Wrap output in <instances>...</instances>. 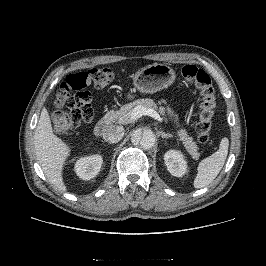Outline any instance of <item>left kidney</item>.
I'll return each mask as SVG.
<instances>
[{
    "mask_svg": "<svg viewBox=\"0 0 266 266\" xmlns=\"http://www.w3.org/2000/svg\"><path fill=\"white\" fill-rule=\"evenodd\" d=\"M168 171L176 177H182L187 171V162L183 154L176 150H169L164 155Z\"/></svg>",
    "mask_w": 266,
    "mask_h": 266,
    "instance_id": "left-kidney-1",
    "label": "left kidney"
}]
</instances>
